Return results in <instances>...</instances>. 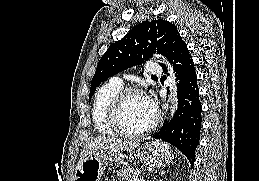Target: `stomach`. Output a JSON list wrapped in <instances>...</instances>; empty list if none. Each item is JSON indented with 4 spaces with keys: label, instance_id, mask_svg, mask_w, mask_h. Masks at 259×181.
Listing matches in <instances>:
<instances>
[{
    "label": "stomach",
    "instance_id": "0dacf381",
    "mask_svg": "<svg viewBox=\"0 0 259 181\" xmlns=\"http://www.w3.org/2000/svg\"><path fill=\"white\" fill-rule=\"evenodd\" d=\"M127 158L122 153L96 151L87 153L78 163L75 181H101L108 163L124 162ZM136 158L149 167H162L173 159L171 148L160 142L152 141L142 144Z\"/></svg>",
    "mask_w": 259,
    "mask_h": 181
}]
</instances>
